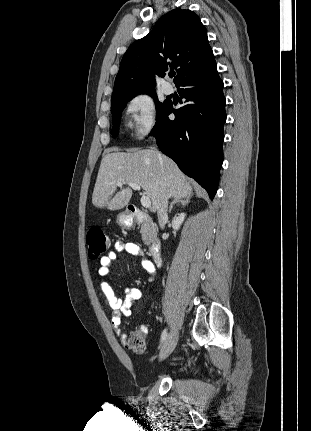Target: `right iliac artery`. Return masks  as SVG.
Listing matches in <instances>:
<instances>
[{
	"label": "right iliac artery",
	"mask_w": 311,
	"mask_h": 431,
	"mask_svg": "<svg viewBox=\"0 0 311 431\" xmlns=\"http://www.w3.org/2000/svg\"><path fill=\"white\" fill-rule=\"evenodd\" d=\"M166 337H167V331L166 329H164L161 335V343H163L166 340Z\"/></svg>",
	"instance_id": "1"
}]
</instances>
